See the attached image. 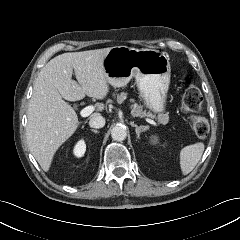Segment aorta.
I'll use <instances>...</instances> for the list:
<instances>
[{
    "mask_svg": "<svg viewBox=\"0 0 240 240\" xmlns=\"http://www.w3.org/2000/svg\"><path fill=\"white\" fill-rule=\"evenodd\" d=\"M127 131L126 128L122 125H116L111 130V137L115 141H123L126 139Z\"/></svg>",
    "mask_w": 240,
    "mask_h": 240,
    "instance_id": "aorta-1",
    "label": "aorta"
}]
</instances>
